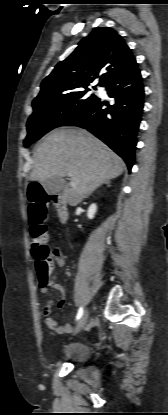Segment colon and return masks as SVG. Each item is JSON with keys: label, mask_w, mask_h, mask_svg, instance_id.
I'll list each match as a JSON object with an SVG mask.
<instances>
[{"label": "colon", "mask_w": 168, "mask_h": 415, "mask_svg": "<svg viewBox=\"0 0 168 415\" xmlns=\"http://www.w3.org/2000/svg\"><path fill=\"white\" fill-rule=\"evenodd\" d=\"M50 197L39 185L29 188V222L32 237V253L41 283L45 286L50 282L54 255L51 253L47 239V227L44 224L47 217Z\"/></svg>", "instance_id": "obj_1"}]
</instances>
